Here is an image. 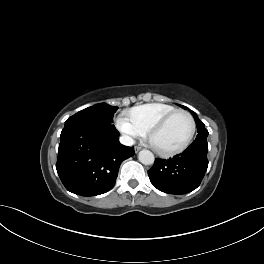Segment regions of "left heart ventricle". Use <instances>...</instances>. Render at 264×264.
<instances>
[{
    "label": "left heart ventricle",
    "instance_id": "b2bd125f",
    "mask_svg": "<svg viewBox=\"0 0 264 264\" xmlns=\"http://www.w3.org/2000/svg\"><path fill=\"white\" fill-rule=\"evenodd\" d=\"M191 132V122L186 115L179 114L173 117L167 125L156 133L152 142L161 150H170L181 146Z\"/></svg>",
    "mask_w": 264,
    "mask_h": 264
}]
</instances>
